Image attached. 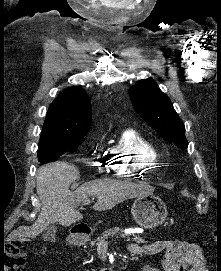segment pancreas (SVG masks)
Segmentation results:
<instances>
[{"mask_svg":"<svg viewBox=\"0 0 221 271\" xmlns=\"http://www.w3.org/2000/svg\"><path fill=\"white\" fill-rule=\"evenodd\" d=\"M110 235H125V233H121V229L118 227H114V229H105L103 231L101 237H95V240H88V245H98L99 242H112V237ZM129 242H136L137 244H147L148 241H144L143 237H132L127 239Z\"/></svg>","mask_w":221,"mask_h":271,"instance_id":"1","label":"pancreas"}]
</instances>
